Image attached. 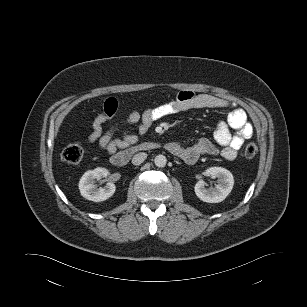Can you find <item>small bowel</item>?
I'll list each match as a JSON object with an SVG mask.
<instances>
[{
  "instance_id": "small-bowel-1",
  "label": "small bowel",
  "mask_w": 307,
  "mask_h": 307,
  "mask_svg": "<svg viewBox=\"0 0 307 307\" xmlns=\"http://www.w3.org/2000/svg\"><path fill=\"white\" fill-rule=\"evenodd\" d=\"M205 108L228 110L226 121L217 123L213 140L201 138L191 145L172 142L167 145V149L188 164L195 163L204 155L220 154L226 160H234L244 141L253 134V127L248 122L245 111L237 108L229 99L191 91H180L172 101L154 108H147L142 112L133 110L120 123L105 129V123L118 110L117 100L109 98L105 100L102 112L92 121L88 141L91 144H97L102 150L113 156L118 150L135 144L139 136L146 134L154 122L190 109ZM122 125L135 126L137 134L123 131L121 137H115V133Z\"/></svg>"
}]
</instances>
